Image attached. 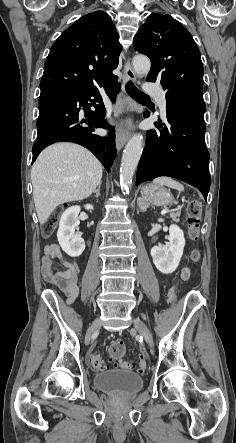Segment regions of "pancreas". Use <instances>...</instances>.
Segmentation results:
<instances>
[{
  "label": "pancreas",
  "mask_w": 236,
  "mask_h": 443,
  "mask_svg": "<svg viewBox=\"0 0 236 443\" xmlns=\"http://www.w3.org/2000/svg\"><path fill=\"white\" fill-rule=\"evenodd\" d=\"M180 215H181V207H178L177 209H175L174 211H172L170 213V218H172V220L178 222Z\"/></svg>",
  "instance_id": "1"
}]
</instances>
